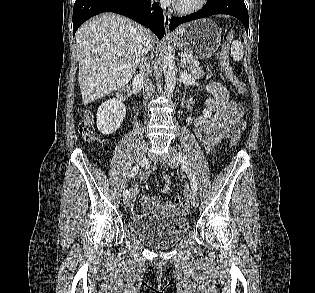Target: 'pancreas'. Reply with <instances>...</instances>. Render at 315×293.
<instances>
[{
  "label": "pancreas",
  "mask_w": 315,
  "mask_h": 293,
  "mask_svg": "<svg viewBox=\"0 0 315 293\" xmlns=\"http://www.w3.org/2000/svg\"><path fill=\"white\" fill-rule=\"evenodd\" d=\"M186 67L187 71L190 72V75L195 79H199L200 77L205 75L203 68L199 66L197 62H194L190 59H187Z\"/></svg>",
  "instance_id": "cf45deb5"
}]
</instances>
